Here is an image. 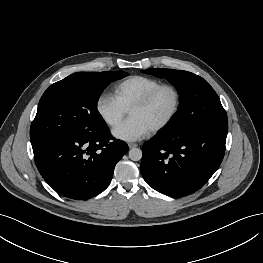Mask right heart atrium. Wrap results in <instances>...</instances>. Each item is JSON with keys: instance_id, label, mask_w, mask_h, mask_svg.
<instances>
[{"instance_id": "d8ad5b80", "label": "right heart atrium", "mask_w": 263, "mask_h": 263, "mask_svg": "<svg viewBox=\"0 0 263 263\" xmlns=\"http://www.w3.org/2000/svg\"><path fill=\"white\" fill-rule=\"evenodd\" d=\"M95 107L99 117L109 127L118 125L126 114V109L113 95L108 93H103L98 97Z\"/></svg>"}]
</instances>
